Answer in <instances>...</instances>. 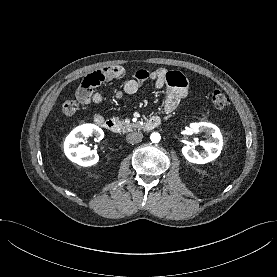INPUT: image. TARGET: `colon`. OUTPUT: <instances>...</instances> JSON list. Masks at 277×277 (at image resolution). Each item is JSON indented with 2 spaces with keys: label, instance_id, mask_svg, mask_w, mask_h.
I'll list each match as a JSON object with an SVG mask.
<instances>
[{
  "label": "colon",
  "instance_id": "5ec220e1",
  "mask_svg": "<svg viewBox=\"0 0 277 277\" xmlns=\"http://www.w3.org/2000/svg\"><path fill=\"white\" fill-rule=\"evenodd\" d=\"M211 104L218 110L225 109L229 104V99L226 94L220 90H214L210 97ZM78 109V104L75 100H67L62 103L61 110L64 115L72 116Z\"/></svg>",
  "mask_w": 277,
  "mask_h": 277
}]
</instances>
